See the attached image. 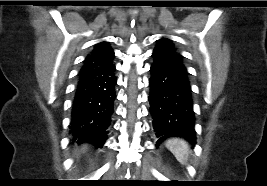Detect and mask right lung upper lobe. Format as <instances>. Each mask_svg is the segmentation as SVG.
<instances>
[{
    "label": "right lung upper lobe",
    "instance_id": "right-lung-upper-lobe-1",
    "mask_svg": "<svg viewBox=\"0 0 267 186\" xmlns=\"http://www.w3.org/2000/svg\"><path fill=\"white\" fill-rule=\"evenodd\" d=\"M114 58V52L107 42H101L94 46L93 50L84 60L81 70L102 66L111 62Z\"/></svg>",
    "mask_w": 267,
    "mask_h": 186
}]
</instances>
